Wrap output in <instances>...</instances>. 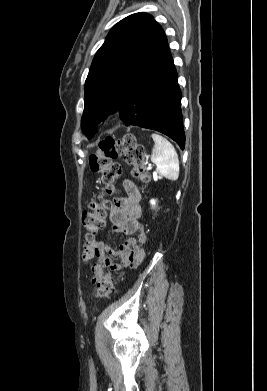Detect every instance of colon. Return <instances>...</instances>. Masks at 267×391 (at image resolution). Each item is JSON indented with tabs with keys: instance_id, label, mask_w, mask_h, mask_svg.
Returning a JSON list of instances; mask_svg holds the SVG:
<instances>
[{
	"instance_id": "obj_1",
	"label": "colon",
	"mask_w": 267,
	"mask_h": 391,
	"mask_svg": "<svg viewBox=\"0 0 267 391\" xmlns=\"http://www.w3.org/2000/svg\"><path fill=\"white\" fill-rule=\"evenodd\" d=\"M123 155L126 163L132 166L133 176L143 182L149 180L145 165L144 147L137 142L132 134H127L120 140L107 137L99 143L98 150L89 157L90 169L101 175L106 194L116 192L115 183L121 175V165L115 161ZM110 208L107 201L101 198L92 201L83 213L82 221L86 230L87 244L94 241L105 226L106 212ZM119 278L112 273L104 274L97 282L93 295L97 298H106L114 290Z\"/></svg>"
}]
</instances>
